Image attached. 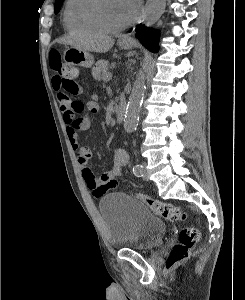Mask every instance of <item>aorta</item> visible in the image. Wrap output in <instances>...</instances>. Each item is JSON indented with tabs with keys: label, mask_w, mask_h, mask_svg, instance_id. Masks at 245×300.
Segmentation results:
<instances>
[{
	"label": "aorta",
	"mask_w": 245,
	"mask_h": 300,
	"mask_svg": "<svg viewBox=\"0 0 245 300\" xmlns=\"http://www.w3.org/2000/svg\"><path fill=\"white\" fill-rule=\"evenodd\" d=\"M167 0H148L143 9V22L146 26L155 24L164 13ZM145 93V75L140 71L134 82L125 113L124 126L129 132L136 129Z\"/></svg>",
	"instance_id": "obj_1"
}]
</instances>
